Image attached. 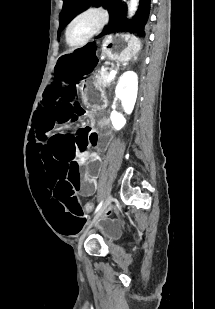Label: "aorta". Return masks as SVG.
<instances>
[{"label": "aorta", "mask_w": 215, "mask_h": 309, "mask_svg": "<svg viewBox=\"0 0 215 309\" xmlns=\"http://www.w3.org/2000/svg\"><path fill=\"white\" fill-rule=\"evenodd\" d=\"M139 0H129V16H133L135 10H137Z\"/></svg>", "instance_id": "aorta-1"}]
</instances>
